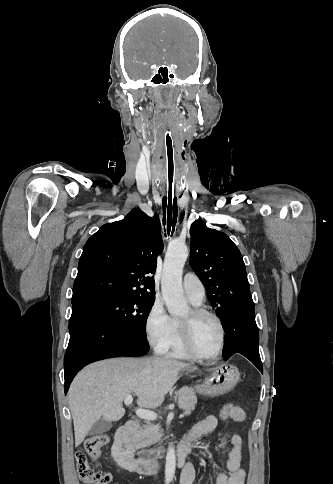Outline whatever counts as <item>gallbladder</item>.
Returning a JSON list of instances; mask_svg holds the SVG:
<instances>
[{
  "label": "gallbladder",
  "mask_w": 333,
  "mask_h": 484,
  "mask_svg": "<svg viewBox=\"0 0 333 484\" xmlns=\"http://www.w3.org/2000/svg\"><path fill=\"white\" fill-rule=\"evenodd\" d=\"M112 426H113V423L111 421H108L105 419H99L92 425L89 431V434L100 435V434L106 433L112 428Z\"/></svg>",
  "instance_id": "gallbladder-1"
}]
</instances>
